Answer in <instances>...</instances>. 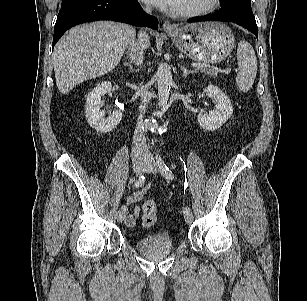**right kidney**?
Here are the masks:
<instances>
[{
  "label": "right kidney",
  "mask_w": 307,
  "mask_h": 301,
  "mask_svg": "<svg viewBox=\"0 0 307 301\" xmlns=\"http://www.w3.org/2000/svg\"><path fill=\"white\" fill-rule=\"evenodd\" d=\"M112 89L111 82L102 81L87 96L85 114L88 124L97 132L107 133L112 131L122 120V113L114 111L109 117L104 118L101 111L103 106L102 96Z\"/></svg>",
  "instance_id": "1"
}]
</instances>
